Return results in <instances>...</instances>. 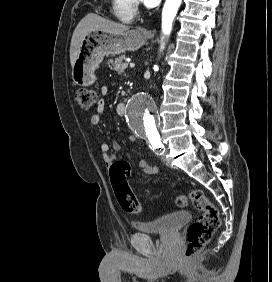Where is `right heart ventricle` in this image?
I'll return each mask as SVG.
<instances>
[{"label": "right heart ventricle", "mask_w": 272, "mask_h": 282, "mask_svg": "<svg viewBox=\"0 0 272 282\" xmlns=\"http://www.w3.org/2000/svg\"><path fill=\"white\" fill-rule=\"evenodd\" d=\"M115 16L123 22H131L135 17V10L131 0H112Z\"/></svg>", "instance_id": "obj_1"}]
</instances>
